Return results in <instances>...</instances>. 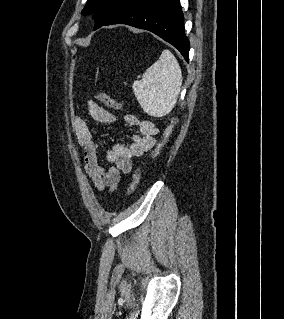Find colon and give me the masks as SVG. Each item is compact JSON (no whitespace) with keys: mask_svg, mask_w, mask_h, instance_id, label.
I'll return each mask as SVG.
<instances>
[{"mask_svg":"<svg viewBox=\"0 0 284 319\" xmlns=\"http://www.w3.org/2000/svg\"><path fill=\"white\" fill-rule=\"evenodd\" d=\"M97 97L100 100V102H102L104 105H106L110 108H113L115 110L123 109L122 104H120L113 97H111L110 95H108L104 92L98 93ZM174 126H175V120L171 119L163 132L160 143L153 150L152 155L155 156V155L159 154L160 151L163 149V147L167 144V142L169 141L170 136L173 132ZM139 181H140V171H139V169H136L133 173L131 182H130L129 187L127 189L128 196L132 195L135 192V190L139 184Z\"/></svg>","mask_w":284,"mask_h":319,"instance_id":"1","label":"colon"}]
</instances>
